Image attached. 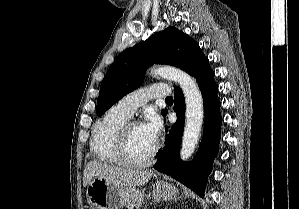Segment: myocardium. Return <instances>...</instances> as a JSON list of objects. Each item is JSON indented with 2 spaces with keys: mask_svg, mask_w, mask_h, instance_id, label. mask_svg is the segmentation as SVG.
Listing matches in <instances>:
<instances>
[{
  "mask_svg": "<svg viewBox=\"0 0 299 209\" xmlns=\"http://www.w3.org/2000/svg\"><path fill=\"white\" fill-rule=\"evenodd\" d=\"M140 125L137 121H127L119 130L117 136V155L119 162L124 166L131 168H143L149 166L159 151V145L156 143L152 152L148 157L142 161H134L128 156V138L130 129L135 126Z\"/></svg>",
  "mask_w": 299,
  "mask_h": 209,
  "instance_id": "myocardium-1",
  "label": "myocardium"
}]
</instances>
